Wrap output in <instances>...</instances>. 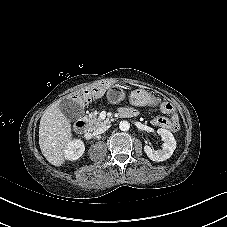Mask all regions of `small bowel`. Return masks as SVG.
I'll use <instances>...</instances> for the list:
<instances>
[{
    "instance_id": "small-bowel-1",
    "label": "small bowel",
    "mask_w": 227,
    "mask_h": 227,
    "mask_svg": "<svg viewBox=\"0 0 227 227\" xmlns=\"http://www.w3.org/2000/svg\"><path fill=\"white\" fill-rule=\"evenodd\" d=\"M161 110L164 113L170 114L171 120L165 117H156L152 120V124L159 128L176 131L179 128V120L173 106L169 103H163L161 105ZM120 112L124 113L125 115L124 117H127V115L132 116L135 114V111L132 108H127V107L122 108Z\"/></svg>"
}]
</instances>
